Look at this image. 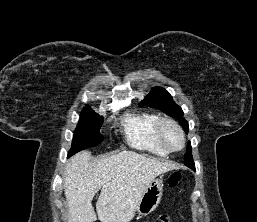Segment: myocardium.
Returning <instances> with one entry per match:
<instances>
[{"mask_svg": "<svg viewBox=\"0 0 257 222\" xmlns=\"http://www.w3.org/2000/svg\"><path fill=\"white\" fill-rule=\"evenodd\" d=\"M166 126H171V127L175 128L177 130V132L179 133V135L181 137V141H182V144L179 148L173 149L167 144V142L164 138V135H163V131ZM156 136H157V139L160 142V144L163 146V148L167 152H178V151H181L185 147V143H186L185 133H184L182 127L178 124V122H176L175 120H173L171 118L164 117L159 120V122L157 124V128H156Z\"/></svg>", "mask_w": 257, "mask_h": 222, "instance_id": "f54148a6", "label": "myocardium"}]
</instances>
